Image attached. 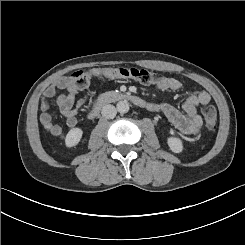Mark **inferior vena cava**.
Listing matches in <instances>:
<instances>
[{
    "label": "inferior vena cava",
    "mask_w": 245,
    "mask_h": 245,
    "mask_svg": "<svg viewBox=\"0 0 245 245\" xmlns=\"http://www.w3.org/2000/svg\"><path fill=\"white\" fill-rule=\"evenodd\" d=\"M101 114L106 119H113L117 114V110H116L115 106H113L111 104H107V105L103 106Z\"/></svg>",
    "instance_id": "inferior-vena-cava-1"
}]
</instances>
